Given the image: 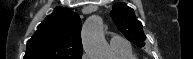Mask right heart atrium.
I'll use <instances>...</instances> for the list:
<instances>
[{
	"instance_id": "right-heart-atrium-1",
	"label": "right heart atrium",
	"mask_w": 193,
	"mask_h": 59,
	"mask_svg": "<svg viewBox=\"0 0 193 59\" xmlns=\"http://www.w3.org/2000/svg\"><path fill=\"white\" fill-rule=\"evenodd\" d=\"M82 59H89L87 54H84Z\"/></svg>"
}]
</instances>
